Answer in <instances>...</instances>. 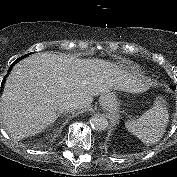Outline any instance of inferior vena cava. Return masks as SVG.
I'll return each mask as SVG.
<instances>
[{
  "mask_svg": "<svg viewBox=\"0 0 177 177\" xmlns=\"http://www.w3.org/2000/svg\"><path fill=\"white\" fill-rule=\"evenodd\" d=\"M76 109H79V104L77 102L71 101V100H66L62 102L59 106V112H71Z\"/></svg>",
  "mask_w": 177,
  "mask_h": 177,
  "instance_id": "1",
  "label": "inferior vena cava"
}]
</instances>
